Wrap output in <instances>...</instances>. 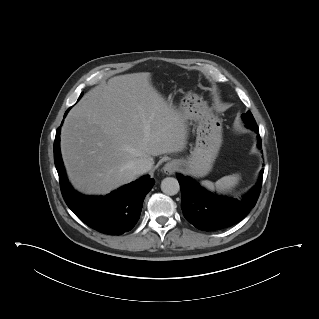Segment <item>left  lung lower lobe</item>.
<instances>
[{
    "label": "left lung lower lobe",
    "instance_id": "obj_1",
    "mask_svg": "<svg viewBox=\"0 0 319 319\" xmlns=\"http://www.w3.org/2000/svg\"><path fill=\"white\" fill-rule=\"evenodd\" d=\"M257 132V125H247ZM258 146L261 138L258 135ZM264 169L261 170L258 183L240 199L214 195L190 177L177 175L180 183L184 217L196 228L204 231L220 230L241 221L255 206L260 194Z\"/></svg>",
    "mask_w": 319,
    "mask_h": 319
}]
</instances>
